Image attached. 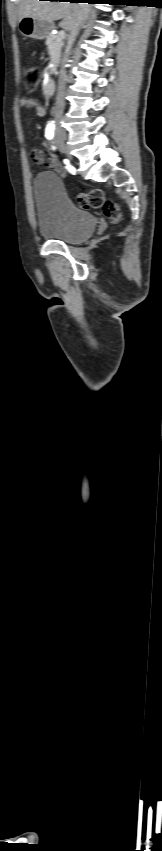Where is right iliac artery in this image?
Here are the masks:
<instances>
[{
  "mask_svg": "<svg viewBox=\"0 0 162 851\" xmlns=\"http://www.w3.org/2000/svg\"><path fill=\"white\" fill-rule=\"evenodd\" d=\"M54 129H55V127H54V125H53V124H49V125H47V127H46V129H45V137H46L48 140H51V139L53 138V136H54ZM52 149L54 150V149H55V147H54V146H52Z\"/></svg>",
  "mask_w": 162,
  "mask_h": 851,
  "instance_id": "right-iliac-artery-1",
  "label": "right iliac artery"
}]
</instances>
